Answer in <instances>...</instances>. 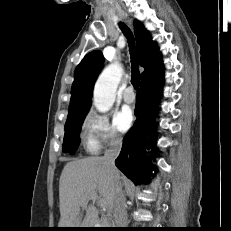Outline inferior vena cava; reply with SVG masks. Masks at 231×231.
Wrapping results in <instances>:
<instances>
[{"label": "inferior vena cava", "mask_w": 231, "mask_h": 231, "mask_svg": "<svg viewBox=\"0 0 231 231\" xmlns=\"http://www.w3.org/2000/svg\"><path fill=\"white\" fill-rule=\"evenodd\" d=\"M122 148V137L114 134L110 140L109 148L102 157L107 166L108 172L114 177V209L113 215L116 228H125L127 226L126 198L122 190L120 180L115 176V159L118 157Z\"/></svg>", "instance_id": "obj_1"}]
</instances>
